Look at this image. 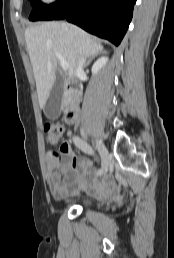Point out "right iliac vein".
Instances as JSON below:
<instances>
[{
    "label": "right iliac vein",
    "instance_id": "63e3f726",
    "mask_svg": "<svg viewBox=\"0 0 174 258\" xmlns=\"http://www.w3.org/2000/svg\"><path fill=\"white\" fill-rule=\"evenodd\" d=\"M95 143L101 156L102 169L103 171H107L110 162L109 152L101 140L96 139Z\"/></svg>",
    "mask_w": 174,
    "mask_h": 258
}]
</instances>
